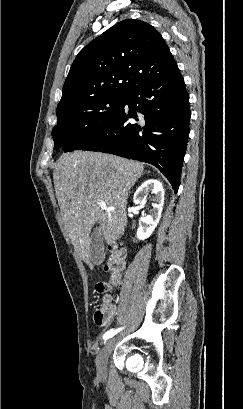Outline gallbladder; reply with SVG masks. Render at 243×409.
Wrapping results in <instances>:
<instances>
[{"instance_id":"gallbladder-1","label":"gallbladder","mask_w":243,"mask_h":409,"mask_svg":"<svg viewBox=\"0 0 243 409\" xmlns=\"http://www.w3.org/2000/svg\"><path fill=\"white\" fill-rule=\"evenodd\" d=\"M90 255L91 261L99 265L103 262L105 254H104V243L103 238L99 233V228H96L90 236Z\"/></svg>"}]
</instances>
